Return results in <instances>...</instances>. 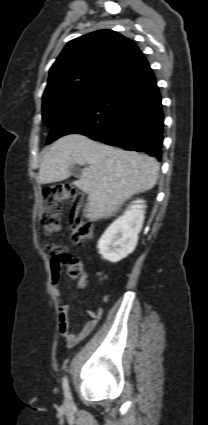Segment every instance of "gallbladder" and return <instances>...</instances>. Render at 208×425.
I'll return each mask as SVG.
<instances>
[{"label":"gallbladder","mask_w":208,"mask_h":425,"mask_svg":"<svg viewBox=\"0 0 208 425\" xmlns=\"http://www.w3.org/2000/svg\"><path fill=\"white\" fill-rule=\"evenodd\" d=\"M69 171L70 174L74 177H80L81 175V170L75 166L71 167Z\"/></svg>","instance_id":"1"}]
</instances>
